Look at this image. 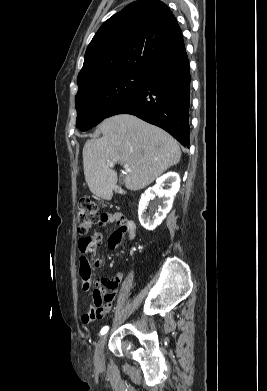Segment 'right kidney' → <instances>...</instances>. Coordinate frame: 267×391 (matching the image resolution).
<instances>
[{"instance_id":"ca27d5eb","label":"right kidney","mask_w":267,"mask_h":391,"mask_svg":"<svg viewBox=\"0 0 267 391\" xmlns=\"http://www.w3.org/2000/svg\"><path fill=\"white\" fill-rule=\"evenodd\" d=\"M168 185V189L162 186ZM180 188V177L176 172H168L156 180L153 187L148 188L141 195L138 208V217L141 225L147 230H154L166 218V215L172 208L174 197ZM158 196L162 199L158 210L153 216L146 213L147 206L152 197Z\"/></svg>"}]
</instances>
